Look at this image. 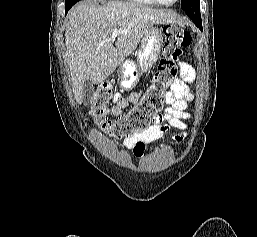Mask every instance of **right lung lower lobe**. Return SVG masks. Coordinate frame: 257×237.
<instances>
[{
	"instance_id": "98d812e1",
	"label": "right lung lower lobe",
	"mask_w": 257,
	"mask_h": 237,
	"mask_svg": "<svg viewBox=\"0 0 257 237\" xmlns=\"http://www.w3.org/2000/svg\"><path fill=\"white\" fill-rule=\"evenodd\" d=\"M70 8H66L65 9V14H67V12L69 11Z\"/></svg>"
}]
</instances>
